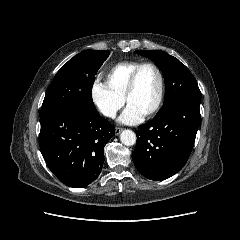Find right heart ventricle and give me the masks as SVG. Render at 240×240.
<instances>
[{
  "mask_svg": "<svg viewBox=\"0 0 240 240\" xmlns=\"http://www.w3.org/2000/svg\"><path fill=\"white\" fill-rule=\"evenodd\" d=\"M140 64L139 61H122L113 65L105 74L106 83L124 98L130 75Z\"/></svg>",
  "mask_w": 240,
  "mask_h": 240,
  "instance_id": "1",
  "label": "right heart ventricle"
}]
</instances>
